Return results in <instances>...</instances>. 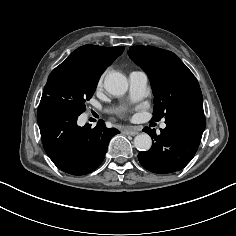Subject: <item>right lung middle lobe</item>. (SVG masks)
<instances>
[{"instance_id":"obj_1","label":"right lung middle lobe","mask_w":236,"mask_h":236,"mask_svg":"<svg viewBox=\"0 0 236 236\" xmlns=\"http://www.w3.org/2000/svg\"><path fill=\"white\" fill-rule=\"evenodd\" d=\"M99 75L80 71L68 64H60L49 75L42 98L54 96L64 99L79 113L95 92Z\"/></svg>"}]
</instances>
